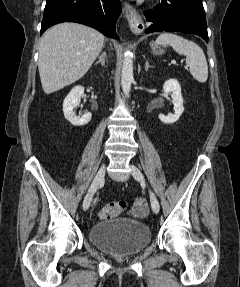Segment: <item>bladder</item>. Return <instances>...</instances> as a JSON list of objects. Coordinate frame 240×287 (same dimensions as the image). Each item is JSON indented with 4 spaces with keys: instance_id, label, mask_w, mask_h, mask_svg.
Returning <instances> with one entry per match:
<instances>
[{
    "instance_id": "obj_1",
    "label": "bladder",
    "mask_w": 240,
    "mask_h": 287,
    "mask_svg": "<svg viewBox=\"0 0 240 287\" xmlns=\"http://www.w3.org/2000/svg\"><path fill=\"white\" fill-rule=\"evenodd\" d=\"M88 239L104 252L127 256L141 252L151 243V229L141 221L114 219L92 225Z\"/></svg>"
}]
</instances>
